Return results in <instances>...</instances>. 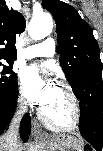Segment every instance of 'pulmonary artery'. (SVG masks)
I'll return each mask as SVG.
<instances>
[{
	"label": "pulmonary artery",
	"instance_id": "e3ab8cb5",
	"mask_svg": "<svg viewBox=\"0 0 103 151\" xmlns=\"http://www.w3.org/2000/svg\"><path fill=\"white\" fill-rule=\"evenodd\" d=\"M55 50V40L53 38H47L39 44L25 48L22 55L25 59H32L35 57H52L55 54Z\"/></svg>",
	"mask_w": 103,
	"mask_h": 151
}]
</instances>
